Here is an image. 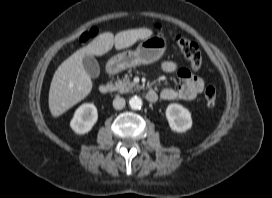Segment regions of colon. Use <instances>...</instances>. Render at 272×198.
Masks as SVG:
<instances>
[{"instance_id":"1","label":"colon","mask_w":272,"mask_h":198,"mask_svg":"<svg viewBox=\"0 0 272 198\" xmlns=\"http://www.w3.org/2000/svg\"><path fill=\"white\" fill-rule=\"evenodd\" d=\"M96 33H97L96 29H91L90 31L84 33L80 37V42L84 43L90 40L96 35ZM176 42L180 51L188 60L190 68L194 71H197L202 64V56L198 44L182 36H178L176 38ZM216 99H217L216 89L211 85L206 86L203 91L204 104L207 105L208 107H212L215 105Z\"/></svg>"}]
</instances>
